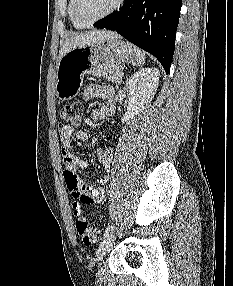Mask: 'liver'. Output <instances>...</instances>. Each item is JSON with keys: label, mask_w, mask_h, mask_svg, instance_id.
<instances>
[{"label": "liver", "mask_w": 233, "mask_h": 286, "mask_svg": "<svg viewBox=\"0 0 233 286\" xmlns=\"http://www.w3.org/2000/svg\"><path fill=\"white\" fill-rule=\"evenodd\" d=\"M120 36L113 31L93 30L86 33H80L65 40L60 50L59 59L70 50L84 45L94 44L104 39L119 38Z\"/></svg>", "instance_id": "liver-1"}]
</instances>
